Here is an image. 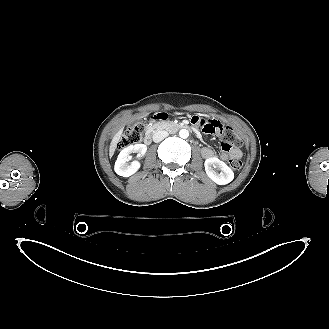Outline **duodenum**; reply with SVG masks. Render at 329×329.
<instances>
[{
  "label": "duodenum",
  "instance_id": "obj_1",
  "mask_svg": "<svg viewBox=\"0 0 329 329\" xmlns=\"http://www.w3.org/2000/svg\"><path fill=\"white\" fill-rule=\"evenodd\" d=\"M164 119V116L162 114H157L153 117V121H154V126H158L161 122V120ZM180 128H189V125L186 124H181ZM152 142V130H149L146 132L145 136H144V143L146 145H149Z\"/></svg>",
  "mask_w": 329,
  "mask_h": 329
}]
</instances>
